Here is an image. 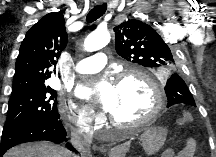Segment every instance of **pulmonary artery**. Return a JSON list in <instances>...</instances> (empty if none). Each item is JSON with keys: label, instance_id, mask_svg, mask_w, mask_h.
Returning a JSON list of instances; mask_svg holds the SVG:
<instances>
[{"label": "pulmonary artery", "instance_id": "pulmonary-artery-1", "mask_svg": "<svg viewBox=\"0 0 216 157\" xmlns=\"http://www.w3.org/2000/svg\"><path fill=\"white\" fill-rule=\"evenodd\" d=\"M107 62V55L99 52L82 59L75 65V71L82 74L97 73L101 71Z\"/></svg>", "mask_w": 216, "mask_h": 157}]
</instances>
